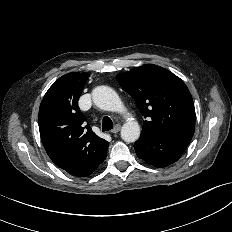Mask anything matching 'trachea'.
I'll return each mask as SVG.
<instances>
[{
    "label": "trachea",
    "mask_w": 232,
    "mask_h": 232,
    "mask_svg": "<svg viewBox=\"0 0 232 232\" xmlns=\"http://www.w3.org/2000/svg\"><path fill=\"white\" fill-rule=\"evenodd\" d=\"M112 128H113L112 120L108 116H105L102 120V131H109Z\"/></svg>",
    "instance_id": "1"
}]
</instances>
